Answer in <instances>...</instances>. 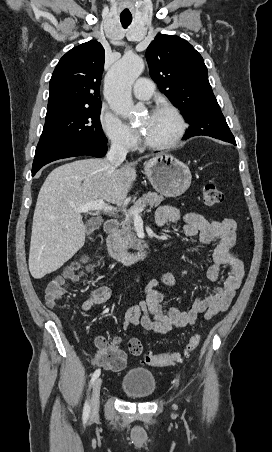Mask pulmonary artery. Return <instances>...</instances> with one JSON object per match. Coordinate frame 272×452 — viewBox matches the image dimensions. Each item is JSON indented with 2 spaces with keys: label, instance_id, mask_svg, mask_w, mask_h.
<instances>
[{
  "label": "pulmonary artery",
  "instance_id": "1",
  "mask_svg": "<svg viewBox=\"0 0 272 452\" xmlns=\"http://www.w3.org/2000/svg\"><path fill=\"white\" fill-rule=\"evenodd\" d=\"M154 92V84L147 78H140L133 86V94L138 100H148Z\"/></svg>",
  "mask_w": 272,
  "mask_h": 452
}]
</instances>
